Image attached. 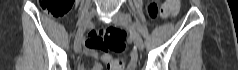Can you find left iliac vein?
<instances>
[{
  "instance_id": "4c4485c4",
  "label": "left iliac vein",
  "mask_w": 238,
  "mask_h": 70,
  "mask_svg": "<svg viewBox=\"0 0 238 70\" xmlns=\"http://www.w3.org/2000/svg\"><path fill=\"white\" fill-rule=\"evenodd\" d=\"M114 19L117 25L126 27L129 30L130 36L133 39L136 48L142 50L144 47V43L136 27L132 24L131 16L128 13L119 11L115 15Z\"/></svg>"
}]
</instances>
